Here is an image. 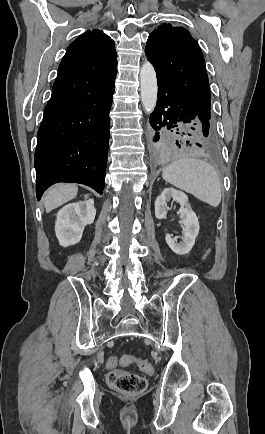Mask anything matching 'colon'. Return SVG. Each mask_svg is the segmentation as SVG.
I'll use <instances>...</instances> for the list:
<instances>
[{
  "instance_id": "1",
  "label": "colon",
  "mask_w": 265,
  "mask_h": 434,
  "mask_svg": "<svg viewBox=\"0 0 265 434\" xmlns=\"http://www.w3.org/2000/svg\"><path fill=\"white\" fill-rule=\"evenodd\" d=\"M134 362L144 373H154V367L146 359L137 360L129 355L111 357L106 361V368L110 369L106 380L112 389L124 393H142L147 389V381L143 377L116 368L118 365H129Z\"/></svg>"
}]
</instances>
